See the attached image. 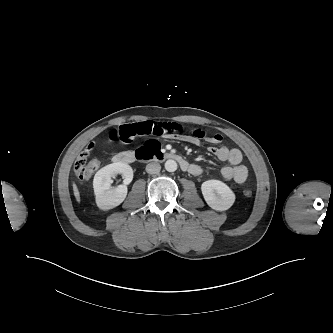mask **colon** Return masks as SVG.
<instances>
[{
    "label": "colon",
    "mask_w": 333,
    "mask_h": 333,
    "mask_svg": "<svg viewBox=\"0 0 333 333\" xmlns=\"http://www.w3.org/2000/svg\"><path fill=\"white\" fill-rule=\"evenodd\" d=\"M91 150L92 146H89L75 161L74 172L80 181H88L91 179L100 167V163L97 159H88ZM244 195L246 197H251L252 191L244 190Z\"/></svg>",
    "instance_id": "obj_1"
}]
</instances>
